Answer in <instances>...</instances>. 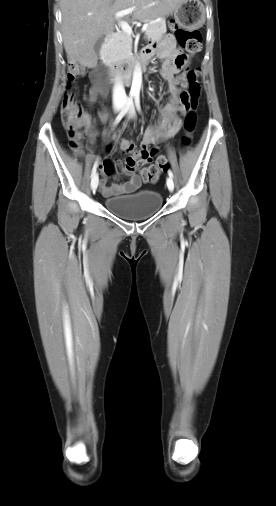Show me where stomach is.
Returning a JSON list of instances; mask_svg holds the SVG:
<instances>
[{"label":"stomach","mask_w":276,"mask_h":506,"mask_svg":"<svg viewBox=\"0 0 276 506\" xmlns=\"http://www.w3.org/2000/svg\"><path fill=\"white\" fill-rule=\"evenodd\" d=\"M173 12L175 22L185 28H199L206 19L205 6L200 0H185Z\"/></svg>","instance_id":"obj_1"}]
</instances>
